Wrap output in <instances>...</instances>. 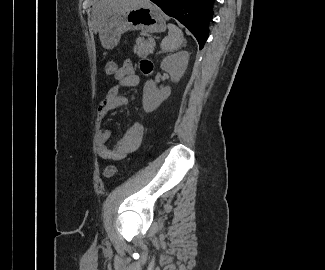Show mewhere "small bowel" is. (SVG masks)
<instances>
[{"label":"small bowel","mask_w":325,"mask_h":270,"mask_svg":"<svg viewBox=\"0 0 325 270\" xmlns=\"http://www.w3.org/2000/svg\"><path fill=\"white\" fill-rule=\"evenodd\" d=\"M140 69L144 73L152 70V64L149 60L140 62ZM115 85L106 93L104 99L99 103L96 111V124L99 127L104 121L107 113L111 110L127 105V97L119 94L121 87H132L139 83V77L135 72L133 63L125 61L116 71ZM143 124H131L116 147L110 148L107 142L111 136L109 129L102 130L98 128L96 135L97 154L103 160H121L128 154L134 152L140 145L143 137Z\"/></svg>","instance_id":"c3829d8e"}]
</instances>
